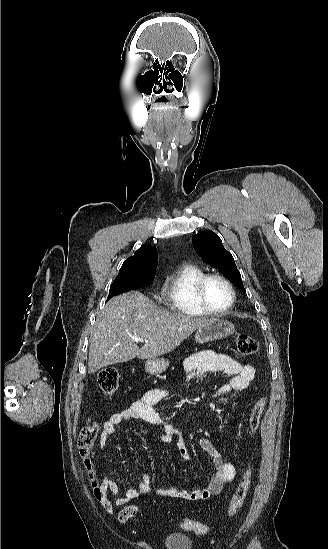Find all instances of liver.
Here are the masks:
<instances>
[{"label":"liver","instance_id":"6515ba94","mask_svg":"<svg viewBox=\"0 0 328 549\" xmlns=\"http://www.w3.org/2000/svg\"><path fill=\"white\" fill-rule=\"evenodd\" d=\"M208 321L180 311H163L138 291L123 293L97 313L91 331L88 373L135 357L155 359L171 353ZM132 337L144 339L141 349Z\"/></svg>","mask_w":328,"mask_h":549}]
</instances>
